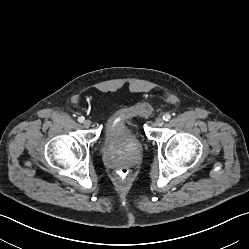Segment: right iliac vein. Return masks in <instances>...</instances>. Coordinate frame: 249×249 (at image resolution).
Returning a JSON list of instances; mask_svg holds the SVG:
<instances>
[{"label": "right iliac vein", "mask_w": 249, "mask_h": 249, "mask_svg": "<svg viewBox=\"0 0 249 249\" xmlns=\"http://www.w3.org/2000/svg\"><path fill=\"white\" fill-rule=\"evenodd\" d=\"M83 125L85 128H89L91 126V121L87 119L83 122Z\"/></svg>", "instance_id": "obj_1"}]
</instances>
